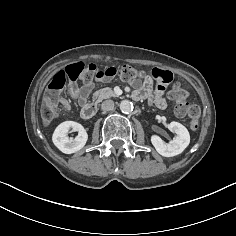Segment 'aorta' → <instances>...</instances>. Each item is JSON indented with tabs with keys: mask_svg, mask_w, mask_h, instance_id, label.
<instances>
[{
	"mask_svg": "<svg viewBox=\"0 0 236 236\" xmlns=\"http://www.w3.org/2000/svg\"><path fill=\"white\" fill-rule=\"evenodd\" d=\"M120 110L123 113H130L133 110V104L129 100H123L120 103Z\"/></svg>",
	"mask_w": 236,
	"mask_h": 236,
	"instance_id": "762f6f07",
	"label": "aorta"
}]
</instances>
